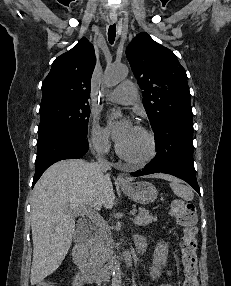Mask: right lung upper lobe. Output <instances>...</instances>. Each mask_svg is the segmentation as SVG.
<instances>
[{"label":"right lung upper lobe","instance_id":"1","mask_svg":"<svg viewBox=\"0 0 231 286\" xmlns=\"http://www.w3.org/2000/svg\"><path fill=\"white\" fill-rule=\"evenodd\" d=\"M95 63L93 45L85 38L60 55L42 84L41 106L60 101L88 103Z\"/></svg>","mask_w":231,"mask_h":286}]
</instances>
